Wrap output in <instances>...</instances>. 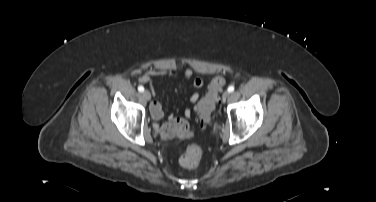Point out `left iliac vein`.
Returning a JSON list of instances; mask_svg holds the SVG:
<instances>
[{
	"mask_svg": "<svg viewBox=\"0 0 376 202\" xmlns=\"http://www.w3.org/2000/svg\"><path fill=\"white\" fill-rule=\"evenodd\" d=\"M229 92L228 91H225L223 94H222V102H226V100L228 99L229 97Z\"/></svg>",
	"mask_w": 376,
	"mask_h": 202,
	"instance_id": "4c4485c4",
	"label": "left iliac vein"
}]
</instances>
